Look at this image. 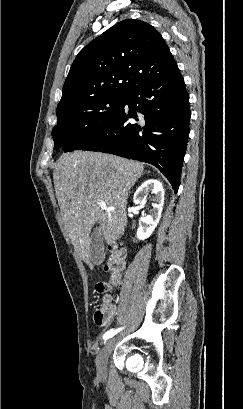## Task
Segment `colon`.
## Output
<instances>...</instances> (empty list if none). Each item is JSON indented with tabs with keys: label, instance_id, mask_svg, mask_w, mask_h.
<instances>
[{
	"label": "colon",
	"instance_id": "1",
	"mask_svg": "<svg viewBox=\"0 0 243 409\" xmlns=\"http://www.w3.org/2000/svg\"><path fill=\"white\" fill-rule=\"evenodd\" d=\"M110 254L105 263V270L110 273L111 281L109 283L100 282L96 285L98 292H105L111 286L118 283L125 268V250L119 243H114L109 247ZM111 311L106 304H99L94 313V321L97 325H103L110 317Z\"/></svg>",
	"mask_w": 243,
	"mask_h": 409
}]
</instances>
